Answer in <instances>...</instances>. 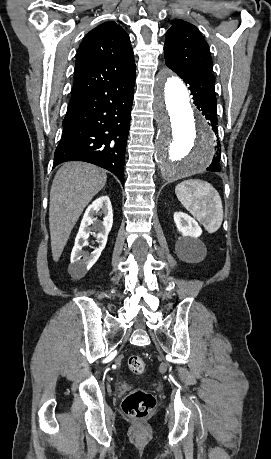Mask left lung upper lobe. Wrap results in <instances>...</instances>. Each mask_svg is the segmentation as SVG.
I'll return each instance as SVG.
<instances>
[{"label":"left lung upper lobe","mask_w":271,"mask_h":459,"mask_svg":"<svg viewBox=\"0 0 271 459\" xmlns=\"http://www.w3.org/2000/svg\"><path fill=\"white\" fill-rule=\"evenodd\" d=\"M164 56L166 65L177 74H212L213 63L209 46L199 30L189 22H172L166 33Z\"/></svg>","instance_id":"1"}]
</instances>
